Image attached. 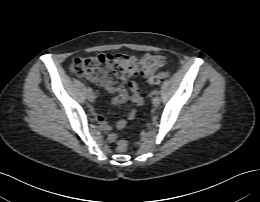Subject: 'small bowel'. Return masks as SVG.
<instances>
[{"label": "small bowel", "instance_id": "small-bowel-1", "mask_svg": "<svg viewBox=\"0 0 260 202\" xmlns=\"http://www.w3.org/2000/svg\"><path fill=\"white\" fill-rule=\"evenodd\" d=\"M104 88L110 92V93H116V96L112 99V102L114 104H123L126 102H130L134 105H141L142 104V96H141V89L140 86L135 83L131 82L129 84L130 94L127 92L124 85H113V84H107L104 86ZM95 120L99 124L100 128L108 133L111 131V126L106 122L105 117L101 114L95 113ZM136 117V110L132 109L128 113V118L130 120L134 119ZM126 126L125 120H119L116 124L117 129H123ZM116 139L115 134H110L108 136L109 142H114Z\"/></svg>", "mask_w": 260, "mask_h": 202}]
</instances>
